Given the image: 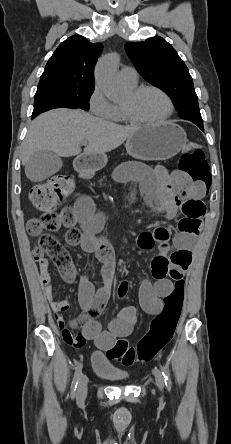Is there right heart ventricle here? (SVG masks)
Masks as SVG:
<instances>
[{
	"label": "right heart ventricle",
	"instance_id": "obj_1",
	"mask_svg": "<svg viewBox=\"0 0 231 444\" xmlns=\"http://www.w3.org/2000/svg\"><path fill=\"white\" fill-rule=\"evenodd\" d=\"M126 86L129 89H133V88L136 87V84L135 85H128V84H126ZM110 120H113V121H116V122H126V121H128L126 116H125V113L123 111L122 105H116L115 106L114 115H113V117Z\"/></svg>",
	"mask_w": 231,
	"mask_h": 444
}]
</instances>
